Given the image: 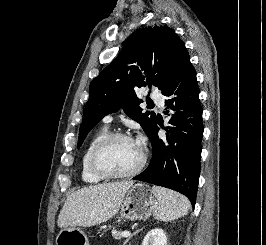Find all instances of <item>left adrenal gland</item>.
<instances>
[{
	"label": "left adrenal gland",
	"instance_id": "a2214340",
	"mask_svg": "<svg viewBox=\"0 0 266 245\" xmlns=\"http://www.w3.org/2000/svg\"><path fill=\"white\" fill-rule=\"evenodd\" d=\"M139 231H142V229H138V231H134L133 235H137V233H139ZM133 235H130V237H128V239H126L124 245H127L128 241H130V239H132Z\"/></svg>",
	"mask_w": 266,
	"mask_h": 245
}]
</instances>
